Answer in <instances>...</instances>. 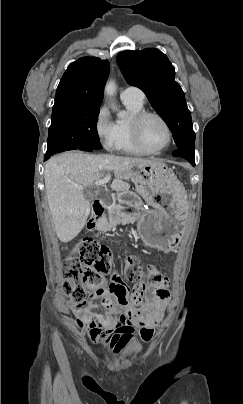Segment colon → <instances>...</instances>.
Segmentation results:
<instances>
[{
	"label": "colon",
	"instance_id": "1",
	"mask_svg": "<svg viewBox=\"0 0 243 404\" xmlns=\"http://www.w3.org/2000/svg\"><path fill=\"white\" fill-rule=\"evenodd\" d=\"M111 269V252L92 239H82L74 247V254L66 260L63 270L64 286L67 295L75 302H81L86 296V287L100 284L102 275ZM126 275L130 281H148L158 283L163 280L155 266L149 265L146 272L135 257L126 260ZM142 291H134L130 302L139 304L143 301Z\"/></svg>",
	"mask_w": 243,
	"mask_h": 404
}]
</instances>
